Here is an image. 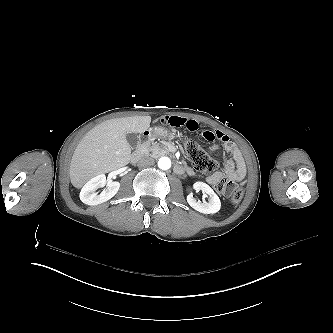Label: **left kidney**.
<instances>
[{"instance_id":"left-kidney-1","label":"left kidney","mask_w":333,"mask_h":333,"mask_svg":"<svg viewBox=\"0 0 333 333\" xmlns=\"http://www.w3.org/2000/svg\"><path fill=\"white\" fill-rule=\"evenodd\" d=\"M194 187L197 190H202L204 193L209 194L210 201L209 202H199L196 201L193 197V194L190 193L186 200L187 203L196 211L204 214H214L217 213L221 209V201L215 191L210 188L207 184L203 182L195 183Z\"/></svg>"}]
</instances>
